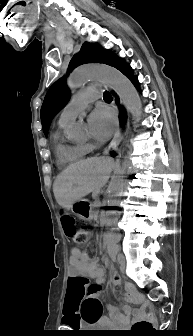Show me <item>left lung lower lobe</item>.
<instances>
[{"instance_id": "obj_1", "label": "left lung lower lobe", "mask_w": 193, "mask_h": 336, "mask_svg": "<svg viewBox=\"0 0 193 336\" xmlns=\"http://www.w3.org/2000/svg\"><path fill=\"white\" fill-rule=\"evenodd\" d=\"M112 66L122 72L134 84L136 88H139L138 79L133 75L132 68L123 59L116 57ZM116 103H119L118 98H116ZM119 118L121 125H124L126 121V113L123 107H120Z\"/></svg>"}]
</instances>
